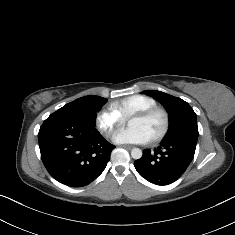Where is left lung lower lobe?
<instances>
[{"mask_svg":"<svg viewBox=\"0 0 235 235\" xmlns=\"http://www.w3.org/2000/svg\"><path fill=\"white\" fill-rule=\"evenodd\" d=\"M196 143L185 140H164L153 152L144 150L134 162L137 172L149 182L165 185L177 180L194 158Z\"/></svg>","mask_w":235,"mask_h":235,"instance_id":"0a47b994","label":"left lung lower lobe"}]
</instances>
